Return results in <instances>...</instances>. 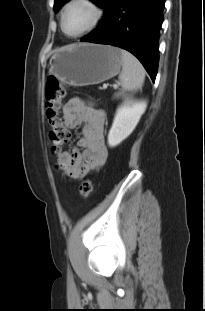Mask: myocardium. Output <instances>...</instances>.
<instances>
[{
  "label": "myocardium",
  "instance_id": "1",
  "mask_svg": "<svg viewBox=\"0 0 205 311\" xmlns=\"http://www.w3.org/2000/svg\"><path fill=\"white\" fill-rule=\"evenodd\" d=\"M78 3L84 4L88 6L89 8H91L94 12V17H93L91 24L86 29H84L80 33L71 35L66 32L65 27H64L65 16H66L68 9L72 5L78 4ZM103 17H104V9L101 7V5L97 1L95 0H69L62 9L61 19H60L61 30L66 36L70 38H79L93 31L101 23Z\"/></svg>",
  "mask_w": 205,
  "mask_h": 311
}]
</instances>
